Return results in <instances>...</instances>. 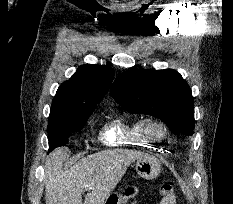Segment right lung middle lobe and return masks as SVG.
<instances>
[{
    "label": "right lung middle lobe",
    "instance_id": "right-lung-middle-lobe-1",
    "mask_svg": "<svg viewBox=\"0 0 233 204\" xmlns=\"http://www.w3.org/2000/svg\"><path fill=\"white\" fill-rule=\"evenodd\" d=\"M93 111L59 121L56 124H48L49 152L56 147L63 146L72 131H80Z\"/></svg>",
    "mask_w": 233,
    "mask_h": 204
}]
</instances>
